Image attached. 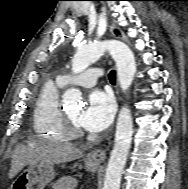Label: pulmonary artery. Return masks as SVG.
<instances>
[{
	"label": "pulmonary artery",
	"instance_id": "pulmonary-artery-1",
	"mask_svg": "<svg viewBox=\"0 0 188 189\" xmlns=\"http://www.w3.org/2000/svg\"><path fill=\"white\" fill-rule=\"evenodd\" d=\"M101 75L102 73L99 69H90L78 76H60L58 77L57 82L61 86L79 85L83 87H92L98 82Z\"/></svg>",
	"mask_w": 188,
	"mask_h": 189
}]
</instances>
